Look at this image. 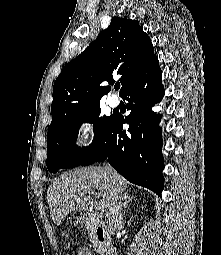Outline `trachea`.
Here are the masks:
<instances>
[{
    "label": "trachea",
    "mask_w": 221,
    "mask_h": 255,
    "mask_svg": "<svg viewBox=\"0 0 221 255\" xmlns=\"http://www.w3.org/2000/svg\"><path fill=\"white\" fill-rule=\"evenodd\" d=\"M114 88L115 90H118L120 88V84L119 83L115 84Z\"/></svg>",
    "instance_id": "obj_1"
}]
</instances>
